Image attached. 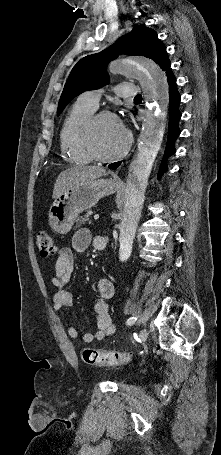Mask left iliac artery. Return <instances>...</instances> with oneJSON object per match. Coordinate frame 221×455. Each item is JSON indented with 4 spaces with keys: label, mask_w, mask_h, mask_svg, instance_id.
Here are the masks:
<instances>
[{
    "label": "left iliac artery",
    "mask_w": 221,
    "mask_h": 455,
    "mask_svg": "<svg viewBox=\"0 0 221 455\" xmlns=\"http://www.w3.org/2000/svg\"><path fill=\"white\" fill-rule=\"evenodd\" d=\"M136 317H131L127 320V325H133L136 322Z\"/></svg>",
    "instance_id": "left-iliac-artery-1"
}]
</instances>
